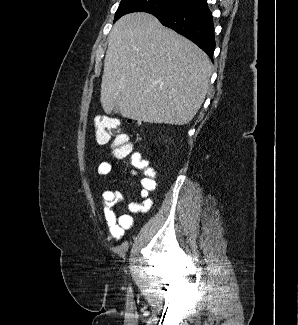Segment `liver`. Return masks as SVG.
I'll return each instance as SVG.
<instances>
[{
	"label": "liver",
	"mask_w": 298,
	"mask_h": 325,
	"mask_svg": "<svg viewBox=\"0 0 298 325\" xmlns=\"http://www.w3.org/2000/svg\"><path fill=\"white\" fill-rule=\"evenodd\" d=\"M207 54L148 12L121 16L111 28L100 102L110 114L143 122L187 124L208 92Z\"/></svg>",
	"instance_id": "6515ba94"
}]
</instances>
